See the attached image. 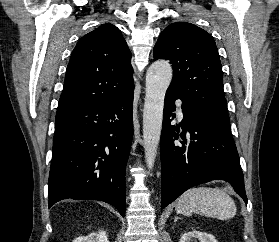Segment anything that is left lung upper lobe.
<instances>
[{
    "label": "left lung upper lobe",
    "instance_id": "left-lung-upper-lobe-1",
    "mask_svg": "<svg viewBox=\"0 0 279 242\" xmlns=\"http://www.w3.org/2000/svg\"><path fill=\"white\" fill-rule=\"evenodd\" d=\"M153 56L171 61L174 71L168 90L178 95L185 109L231 131L222 66L208 32L191 23H172L159 36Z\"/></svg>",
    "mask_w": 279,
    "mask_h": 242
}]
</instances>
